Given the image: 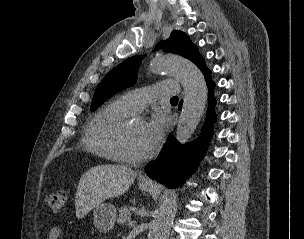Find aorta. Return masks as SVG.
<instances>
[{"instance_id": "762f6f07", "label": "aorta", "mask_w": 304, "mask_h": 239, "mask_svg": "<svg viewBox=\"0 0 304 239\" xmlns=\"http://www.w3.org/2000/svg\"><path fill=\"white\" fill-rule=\"evenodd\" d=\"M152 72L176 77L184 88L183 107L178 120L176 139L184 144L194 133L204 113L207 86L202 72L187 59L179 56L161 55L151 63ZM177 195L171 190L164 195L153 223L152 239H168L176 210Z\"/></svg>"}]
</instances>
